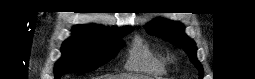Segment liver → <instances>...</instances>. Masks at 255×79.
<instances>
[{
	"label": "liver",
	"instance_id": "liver-1",
	"mask_svg": "<svg viewBox=\"0 0 255 79\" xmlns=\"http://www.w3.org/2000/svg\"><path fill=\"white\" fill-rule=\"evenodd\" d=\"M140 76L136 75H119V76H106L104 79H139Z\"/></svg>",
	"mask_w": 255,
	"mask_h": 79
}]
</instances>
